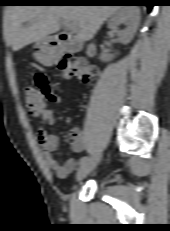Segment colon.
<instances>
[{"mask_svg": "<svg viewBox=\"0 0 170 231\" xmlns=\"http://www.w3.org/2000/svg\"><path fill=\"white\" fill-rule=\"evenodd\" d=\"M58 71L65 77H76L84 83H89L98 75V69L90 65L85 59L73 56H64L58 63ZM25 103L29 113L33 116H39L46 106L44 94L36 87L26 86L23 89ZM77 129L70 131L71 139L79 135Z\"/></svg>", "mask_w": 170, "mask_h": 231, "instance_id": "5ec220e1", "label": "colon"}]
</instances>
